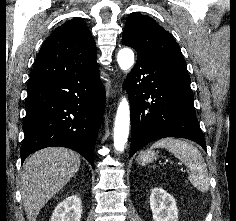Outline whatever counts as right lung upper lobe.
<instances>
[{
  "instance_id": "1",
  "label": "right lung upper lobe",
  "mask_w": 236,
  "mask_h": 221,
  "mask_svg": "<svg viewBox=\"0 0 236 221\" xmlns=\"http://www.w3.org/2000/svg\"><path fill=\"white\" fill-rule=\"evenodd\" d=\"M96 46L83 20L73 18L57 27L37 54L27 87L98 70Z\"/></svg>"
}]
</instances>
